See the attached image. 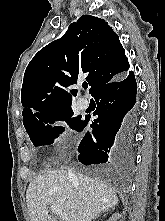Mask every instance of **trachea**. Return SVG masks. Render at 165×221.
<instances>
[{"label":"trachea","instance_id":"trachea-1","mask_svg":"<svg viewBox=\"0 0 165 221\" xmlns=\"http://www.w3.org/2000/svg\"><path fill=\"white\" fill-rule=\"evenodd\" d=\"M82 87H83L84 89H87V88H88V84H87V83H83V84H82Z\"/></svg>","mask_w":165,"mask_h":221}]
</instances>
